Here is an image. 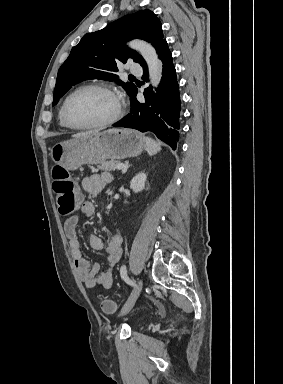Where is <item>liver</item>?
<instances>
[{
	"instance_id": "1",
	"label": "liver",
	"mask_w": 283,
	"mask_h": 384,
	"mask_svg": "<svg viewBox=\"0 0 283 384\" xmlns=\"http://www.w3.org/2000/svg\"><path fill=\"white\" fill-rule=\"evenodd\" d=\"M91 134H98L97 130H90V132H79V134H74L72 138H81V136H91Z\"/></svg>"
}]
</instances>
